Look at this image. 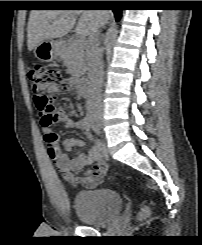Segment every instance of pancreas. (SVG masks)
Here are the masks:
<instances>
[{
    "label": "pancreas",
    "instance_id": "1",
    "mask_svg": "<svg viewBox=\"0 0 202 245\" xmlns=\"http://www.w3.org/2000/svg\"><path fill=\"white\" fill-rule=\"evenodd\" d=\"M61 58L67 71L76 81L86 71L85 47L84 44H75V40L67 43L62 48Z\"/></svg>",
    "mask_w": 202,
    "mask_h": 245
}]
</instances>
